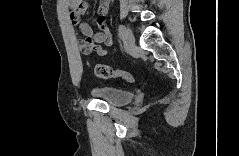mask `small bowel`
Listing matches in <instances>:
<instances>
[{
	"mask_svg": "<svg viewBox=\"0 0 239 156\" xmlns=\"http://www.w3.org/2000/svg\"><path fill=\"white\" fill-rule=\"evenodd\" d=\"M69 20L70 23L79 29L82 38L79 39V48L84 54L92 52L99 56H106L108 51L101 45L105 44L108 47H113L114 42L111 33L107 27L106 17L110 8L109 0H102L98 6L97 25L99 30L94 32L91 25L82 22L81 16L87 10V3L83 0L68 1Z\"/></svg>",
	"mask_w": 239,
	"mask_h": 156,
	"instance_id": "1",
	"label": "small bowel"
}]
</instances>
